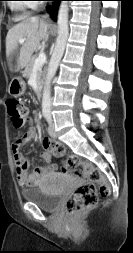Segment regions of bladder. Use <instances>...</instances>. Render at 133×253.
Wrapping results in <instances>:
<instances>
[{"instance_id": "31cf9c89", "label": "bladder", "mask_w": 133, "mask_h": 253, "mask_svg": "<svg viewBox=\"0 0 133 253\" xmlns=\"http://www.w3.org/2000/svg\"><path fill=\"white\" fill-rule=\"evenodd\" d=\"M22 198L35 204L41 210L54 211L60 204L62 195L59 192L49 191L41 186H32L21 191Z\"/></svg>"}]
</instances>
